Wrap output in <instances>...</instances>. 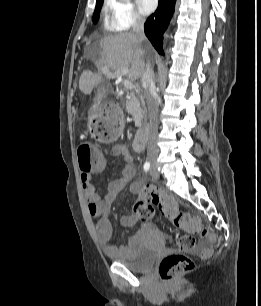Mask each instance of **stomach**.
<instances>
[{
    "mask_svg": "<svg viewBox=\"0 0 261 306\" xmlns=\"http://www.w3.org/2000/svg\"><path fill=\"white\" fill-rule=\"evenodd\" d=\"M89 118H90V125L94 126L98 122H100L101 119L104 118V112L102 108H99L98 106H95L94 109H92L89 112Z\"/></svg>",
    "mask_w": 261,
    "mask_h": 306,
    "instance_id": "stomach-1",
    "label": "stomach"
}]
</instances>
